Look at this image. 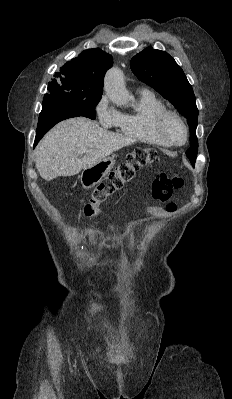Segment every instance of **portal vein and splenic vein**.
Segmentation results:
<instances>
[{"instance_id": "18ae733b", "label": "portal vein and splenic vein", "mask_w": 232, "mask_h": 399, "mask_svg": "<svg viewBox=\"0 0 232 399\" xmlns=\"http://www.w3.org/2000/svg\"><path fill=\"white\" fill-rule=\"evenodd\" d=\"M86 152H88L87 146H81V148H79L78 154H86Z\"/></svg>"}]
</instances>
